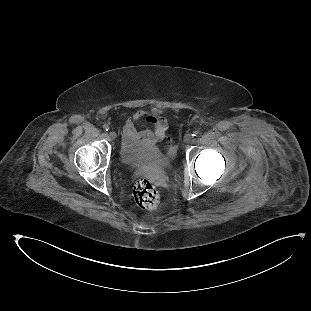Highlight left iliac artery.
Segmentation results:
<instances>
[{"mask_svg": "<svg viewBox=\"0 0 311 311\" xmlns=\"http://www.w3.org/2000/svg\"><path fill=\"white\" fill-rule=\"evenodd\" d=\"M199 134V132L197 130L193 131L192 136L195 137Z\"/></svg>", "mask_w": 311, "mask_h": 311, "instance_id": "44dca946", "label": "left iliac artery"}]
</instances>
